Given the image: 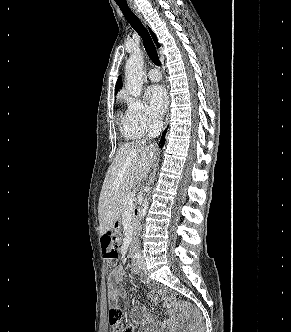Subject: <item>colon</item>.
Returning <instances> with one entry per match:
<instances>
[{
	"mask_svg": "<svg viewBox=\"0 0 291 332\" xmlns=\"http://www.w3.org/2000/svg\"><path fill=\"white\" fill-rule=\"evenodd\" d=\"M101 245L103 254L108 260H116L119 256L120 242L117 236L113 232H106L101 237ZM169 309L173 311H180L189 318V330L188 332H200L201 331V314L191 304L183 301H175L169 299L167 302ZM122 312L119 308L113 307L109 311V321L112 325L117 326L120 323ZM115 332H132L130 326H118Z\"/></svg>",
	"mask_w": 291,
	"mask_h": 332,
	"instance_id": "colon-1",
	"label": "colon"
}]
</instances>
